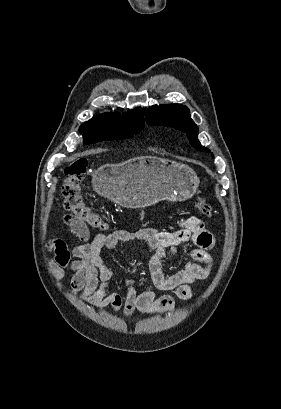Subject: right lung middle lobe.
Returning <instances> with one entry per match:
<instances>
[{
  "label": "right lung middle lobe",
  "mask_w": 281,
  "mask_h": 409,
  "mask_svg": "<svg viewBox=\"0 0 281 409\" xmlns=\"http://www.w3.org/2000/svg\"><path fill=\"white\" fill-rule=\"evenodd\" d=\"M144 128V125L130 127H80L79 131L84 136V143H95L104 140L126 139L137 134Z\"/></svg>",
  "instance_id": "right-lung-middle-lobe-1"
}]
</instances>
